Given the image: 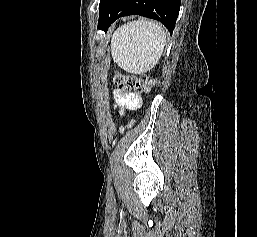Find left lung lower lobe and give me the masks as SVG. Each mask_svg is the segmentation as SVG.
I'll return each instance as SVG.
<instances>
[{
	"mask_svg": "<svg viewBox=\"0 0 257 237\" xmlns=\"http://www.w3.org/2000/svg\"><path fill=\"white\" fill-rule=\"evenodd\" d=\"M181 0H108L100 11L98 28L107 31L118 18L132 14L162 22L173 32Z\"/></svg>",
	"mask_w": 257,
	"mask_h": 237,
	"instance_id": "1",
	"label": "left lung lower lobe"
}]
</instances>
